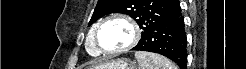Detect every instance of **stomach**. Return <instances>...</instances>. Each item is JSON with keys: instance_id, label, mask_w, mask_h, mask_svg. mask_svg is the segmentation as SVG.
I'll return each mask as SVG.
<instances>
[{"instance_id": "0dacf381", "label": "stomach", "mask_w": 246, "mask_h": 69, "mask_svg": "<svg viewBox=\"0 0 246 69\" xmlns=\"http://www.w3.org/2000/svg\"><path fill=\"white\" fill-rule=\"evenodd\" d=\"M87 69H136L123 59L112 60L88 67Z\"/></svg>"}]
</instances>
